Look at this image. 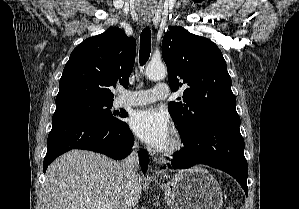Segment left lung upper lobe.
I'll use <instances>...</instances> for the list:
<instances>
[{"label":"left lung upper lobe","instance_id":"left-lung-upper-lobe-1","mask_svg":"<svg viewBox=\"0 0 299 209\" xmlns=\"http://www.w3.org/2000/svg\"><path fill=\"white\" fill-rule=\"evenodd\" d=\"M162 56L172 91L185 89L180 102L168 105L180 137L215 115L236 111L225 59L211 40L175 26L163 38Z\"/></svg>","mask_w":299,"mask_h":209}]
</instances>
